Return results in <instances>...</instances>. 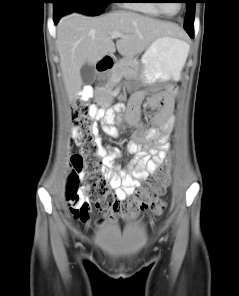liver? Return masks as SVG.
<instances>
[{"label": "liver", "mask_w": 239, "mask_h": 296, "mask_svg": "<svg viewBox=\"0 0 239 296\" xmlns=\"http://www.w3.org/2000/svg\"><path fill=\"white\" fill-rule=\"evenodd\" d=\"M112 32L126 37H119L115 45ZM182 34L174 23L130 11H116L101 17L74 12L63 17L57 25L56 48L69 99L76 97L84 84L80 71L85 63L94 65L116 49L122 56L132 59L156 38Z\"/></svg>", "instance_id": "liver-1"}]
</instances>
